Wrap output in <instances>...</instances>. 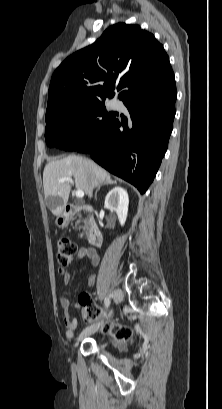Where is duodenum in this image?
Segmentation results:
<instances>
[{
  "label": "duodenum",
  "mask_w": 222,
  "mask_h": 409,
  "mask_svg": "<svg viewBox=\"0 0 222 409\" xmlns=\"http://www.w3.org/2000/svg\"><path fill=\"white\" fill-rule=\"evenodd\" d=\"M84 211L89 214L88 216V241L89 244L94 248H99L102 246L103 237L98 224L92 217V208L88 205H67L65 209L66 217L70 218L74 214Z\"/></svg>",
  "instance_id": "1"
}]
</instances>
